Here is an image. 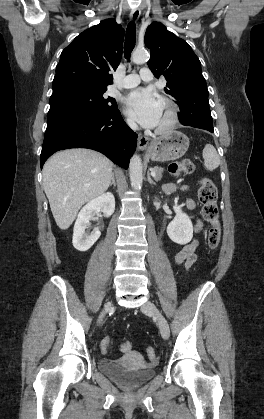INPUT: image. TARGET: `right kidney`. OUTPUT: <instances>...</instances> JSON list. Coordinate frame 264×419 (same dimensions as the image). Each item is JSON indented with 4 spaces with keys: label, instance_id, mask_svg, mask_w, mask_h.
<instances>
[{
    "label": "right kidney",
    "instance_id": "1",
    "mask_svg": "<svg viewBox=\"0 0 264 419\" xmlns=\"http://www.w3.org/2000/svg\"><path fill=\"white\" fill-rule=\"evenodd\" d=\"M100 210L104 212L105 217H109L115 210V198L110 192L101 194L100 196L90 200L79 212L74 225L73 246L81 252L87 251L99 239L101 232L99 228H95L90 234L85 229L90 224V220L97 219Z\"/></svg>",
    "mask_w": 264,
    "mask_h": 419
}]
</instances>
